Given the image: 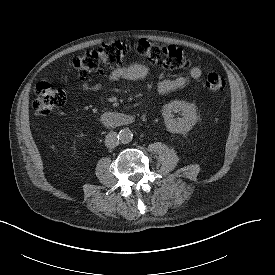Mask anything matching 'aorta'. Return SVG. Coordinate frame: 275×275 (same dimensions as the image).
Returning <instances> with one entry per match:
<instances>
[{
	"label": "aorta",
	"instance_id": "obj_1",
	"mask_svg": "<svg viewBox=\"0 0 275 275\" xmlns=\"http://www.w3.org/2000/svg\"><path fill=\"white\" fill-rule=\"evenodd\" d=\"M119 139L123 144H127L133 139V132L129 128H124L119 132Z\"/></svg>",
	"mask_w": 275,
	"mask_h": 275
}]
</instances>
